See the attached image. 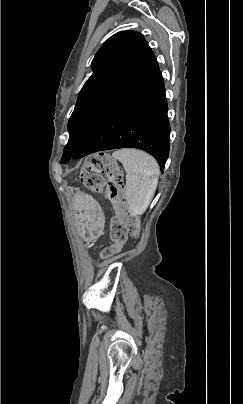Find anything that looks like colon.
Here are the masks:
<instances>
[{
    "label": "colon",
    "mask_w": 243,
    "mask_h": 404,
    "mask_svg": "<svg viewBox=\"0 0 243 404\" xmlns=\"http://www.w3.org/2000/svg\"><path fill=\"white\" fill-rule=\"evenodd\" d=\"M81 181L90 191L103 194L117 212L111 221L113 245L101 254L102 258H106L120 250L128 234H138L139 219L125 201L122 172L110 156L103 153L91 156L81 172Z\"/></svg>",
    "instance_id": "1"
}]
</instances>
